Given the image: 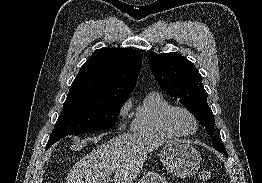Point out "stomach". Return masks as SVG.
Listing matches in <instances>:
<instances>
[{"instance_id": "obj_1", "label": "stomach", "mask_w": 262, "mask_h": 183, "mask_svg": "<svg viewBox=\"0 0 262 183\" xmlns=\"http://www.w3.org/2000/svg\"><path fill=\"white\" fill-rule=\"evenodd\" d=\"M160 160L166 170L173 176L186 178L196 174L202 159L194 147L179 141H167L160 151ZM135 183L168 182L159 173L148 172Z\"/></svg>"}]
</instances>
